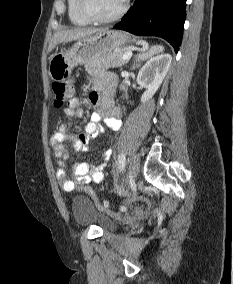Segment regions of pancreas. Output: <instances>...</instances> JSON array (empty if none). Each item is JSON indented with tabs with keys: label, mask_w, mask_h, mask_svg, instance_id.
Masks as SVG:
<instances>
[{
	"label": "pancreas",
	"mask_w": 233,
	"mask_h": 284,
	"mask_svg": "<svg viewBox=\"0 0 233 284\" xmlns=\"http://www.w3.org/2000/svg\"><path fill=\"white\" fill-rule=\"evenodd\" d=\"M124 51H113L102 55L94 61L85 65V70L89 74H100L105 72L109 68H118L125 65L128 60H122Z\"/></svg>",
	"instance_id": "pancreas-1"
}]
</instances>
